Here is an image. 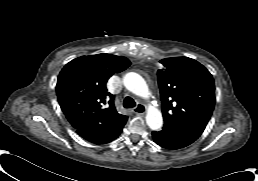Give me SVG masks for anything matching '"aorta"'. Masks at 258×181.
Listing matches in <instances>:
<instances>
[{
    "mask_svg": "<svg viewBox=\"0 0 258 181\" xmlns=\"http://www.w3.org/2000/svg\"><path fill=\"white\" fill-rule=\"evenodd\" d=\"M124 86L132 93L147 98L149 95L146 81L137 73L129 72L123 78ZM146 123L152 130H158L163 125V118L160 110L149 107L146 114Z\"/></svg>",
    "mask_w": 258,
    "mask_h": 181,
    "instance_id": "1",
    "label": "aorta"
}]
</instances>
